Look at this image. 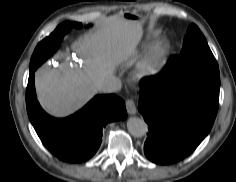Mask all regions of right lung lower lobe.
<instances>
[{"label": "right lung lower lobe", "mask_w": 236, "mask_h": 182, "mask_svg": "<svg viewBox=\"0 0 236 182\" xmlns=\"http://www.w3.org/2000/svg\"><path fill=\"white\" fill-rule=\"evenodd\" d=\"M34 72L29 70L26 106L40 140L62 161L79 163L90 159L101 144L102 129L127 117L125 102L114 94L98 95L74 115L56 119L44 112L37 101Z\"/></svg>", "instance_id": "right-lung-lower-lobe-1"}]
</instances>
